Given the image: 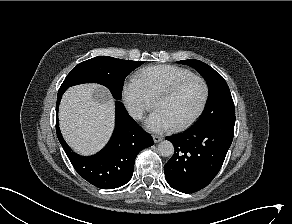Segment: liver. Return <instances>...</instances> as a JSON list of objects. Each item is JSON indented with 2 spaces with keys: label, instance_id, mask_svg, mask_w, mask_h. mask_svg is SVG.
<instances>
[{
  "label": "liver",
  "instance_id": "obj_1",
  "mask_svg": "<svg viewBox=\"0 0 292 224\" xmlns=\"http://www.w3.org/2000/svg\"><path fill=\"white\" fill-rule=\"evenodd\" d=\"M60 129L76 152L90 155L100 150L114 126V102L110 93L97 84L69 88L59 108Z\"/></svg>",
  "mask_w": 292,
  "mask_h": 224
}]
</instances>
